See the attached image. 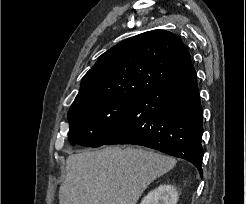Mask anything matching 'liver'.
Masks as SVG:
<instances>
[{
	"instance_id": "6515ba94",
	"label": "liver",
	"mask_w": 246,
	"mask_h": 204,
	"mask_svg": "<svg viewBox=\"0 0 246 204\" xmlns=\"http://www.w3.org/2000/svg\"><path fill=\"white\" fill-rule=\"evenodd\" d=\"M176 159L142 148L109 146L71 154L59 204H136L148 185Z\"/></svg>"
}]
</instances>
